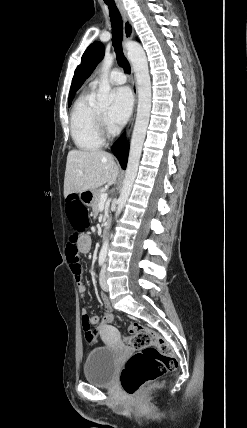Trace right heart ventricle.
Returning a JSON list of instances; mask_svg holds the SVG:
<instances>
[{
  "instance_id": "right-heart-ventricle-1",
  "label": "right heart ventricle",
  "mask_w": 247,
  "mask_h": 428,
  "mask_svg": "<svg viewBox=\"0 0 247 428\" xmlns=\"http://www.w3.org/2000/svg\"><path fill=\"white\" fill-rule=\"evenodd\" d=\"M96 110L92 103V88L82 93L73 106L70 119L71 136L80 150H97L104 143L96 120Z\"/></svg>"
}]
</instances>
